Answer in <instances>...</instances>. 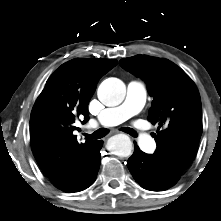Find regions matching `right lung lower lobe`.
I'll return each instance as SVG.
<instances>
[{
	"mask_svg": "<svg viewBox=\"0 0 221 221\" xmlns=\"http://www.w3.org/2000/svg\"><path fill=\"white\" fill-rule=\"evenodd\" d=\"M102 145V140L96 141L94 143L75 178L67 186L61 188L60 190L67 193L78 192L88 188L90 185L93 184L100 167V149L102 148Z\"/></svg>",
	"mask_w": 221,
	"mask_h": 221,
	"instance_id": "98d812e1",
	"label": "right lung lower lobe"
}]
</instances>
